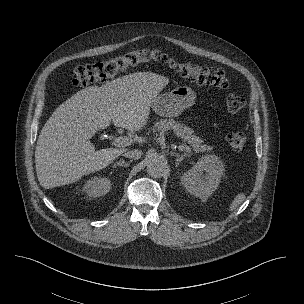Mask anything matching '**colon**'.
<instances>
[{
	"instance_id": "1",
	"label": "colon",
	"mask_w": 304,
	"mask_h": 304,
	"mask_svg": "<svg viewBox=\"0 0 304 304\" xmlns=\"http://www.w3.org/2000/svg\"><path fill=\"white\" fill-rule=\"evenodd\" d=\"M148 62L166 63L183 77L199 85L220 89H226L229 86L227 74L222 68L199 66L149 48L134 50L94 64L77 66L71 72V83L73 86L82 87L104 82L121 72ZM225 106L229 113H238L246 106V100L232 93L226 97ZM247 140V134L243 131H234L227 135V142L236 153L244 152Z\"/></svg>"
}]
</instances>
